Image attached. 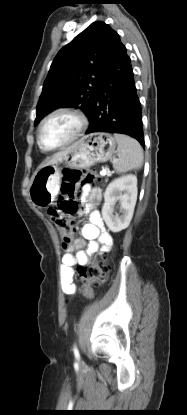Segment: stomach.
Returning a JSON list of instances; mask_svg holds the SVG:
<instances>
[{"instance_id": "0dacf381", "label": "stomach", "mask_w": 187, "mask_h": 415, "mask_svg": "<svg viewBox=\"0 0 187 415\" xmlns=\"http://www.w3.org/2000/svg\"><path fill=\"white\" fill-rule=\"evenodd\" d=\"M116 145L114 136L105 132L92 133L77 141L60 162L40 167L34 173L28 189L32 203L44 208L55 201L63 169L61 164L65 168H87L106 162L115 153Z\"/></svg>"}]
</instances>
